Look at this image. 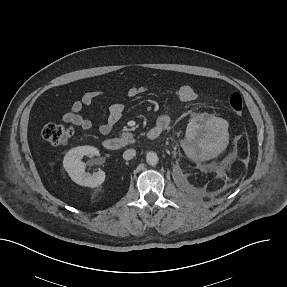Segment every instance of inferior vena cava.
I'll use <instances>...</instances> for the list:
<instances>
[{
  "label": "inferior vena cava",
  "instance_id": "1",
  "mask_svg": "<svg viewBox=\"0 0 287 287\" xmlns=\"http://www.w3.org/2000/svg\"><path fill=\"white\" fill-rule=\"evenodd\" d=\"M136 155V151L134 149H127L124 153H123V158L125 160H131L135 157Z\"/></svg>",
  "mask_w": 287,
  "mask_h": 287
}]
</instances>
